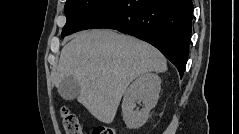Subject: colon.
<instances>
[{"label":"colon","mask_w":239,"mask_h":134,"mask_svg":"<svg viewBox=\"0 0 239 134\" xmlns=\"http://www.w3.org/2000/svg\"><path fill=\"white\" fill-rule=\"evenodd\" d=\"M60 115L68 134H81L80 124L76 114L69 108L63 106L60 108ZM93 134H118V132L110 127L99 126L94 129Z\"/></svg>","instance_id":"1"}]
</instances>
